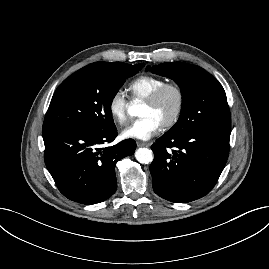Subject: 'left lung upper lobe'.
I'll list each match as a JSON object with an SVG mask.
<instances>
[{
	"label": "left lung upper lobe",
	"instance_id": "5c2ea615",
	"mask_svg": "<svg viewBox=\"0 0 269 269\" xmlns=\"http://www.w3.org/2000/svg\"><path fill=\"white\" fill-rule=\"evenodd\" d=\"M146 71L173 79L182 92L177 123L165 134L184 135L199 128H231V115L221 84L203 68L183 62H167Z\"/></svg>",
	"mask_w": 269,
	"mask_h": 269
}]
</instances>
